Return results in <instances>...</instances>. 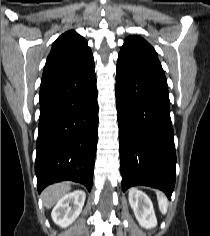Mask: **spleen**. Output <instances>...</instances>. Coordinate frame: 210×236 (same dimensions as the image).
I'll list each match as a JSON object with an SVG mask.
<instances>
[{
	"label": "spleen",
	"mask_w": 210,
	"mask_h": 236,
	"mask_svg": "<svg viewBox=\"0 0 210 236\" xmlns=\"http://www.w3.org/2000/svg\"><path fill=\"white\" fill-rule=\"evenodd\" d=\"M157 200H158V205H159V209L163 214L167 213V209H168V200L165 197L164 194H160L157 193Z\"/></svg>",
	"instance_id": "3e777b00"
}]
</instances>
